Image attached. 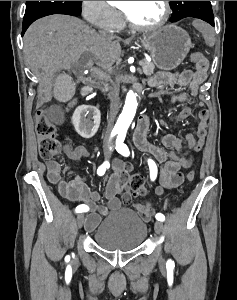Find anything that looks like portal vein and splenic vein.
<instances>
[{"label": "portal vein and splenic vein", "instance_id": "obj_1", "mask_svg": "<svg viewBox=\"0 0 237 300\" xmlns=\"http://www.w3.org/2000/svg\"><path fill=\"white\" fill-rule=\"evenodd\" d=\"M144 64H145L144 61L141 60L139 66L142 68V67H144Z\"/></svg>", "mask_w": 237, "mask_h": 300}]
</instances>
